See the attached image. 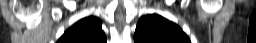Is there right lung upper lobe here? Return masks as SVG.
<instances>
[{
    "instance_id": "cb5924a9",
    "label": "right lung upper lobe",
    "mask_w": 256,
    "mask_h": 43,
    "mask_svg": "<svg viewBox=\"0 0 256 43\" xmlns=\"http://www.w3.org/2000/svg\"><path fill=\"white\" fill-rule=\"evenodd\" d=\"M101 21L93 16L84 18L69 28L58 43H106Z\"/></svg>"
}]
</instances>
